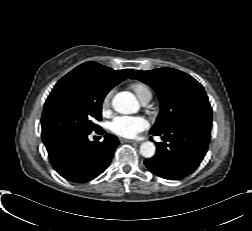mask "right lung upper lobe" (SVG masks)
<instances>
[{"instance_id": "cb5924a9", "label": "right lung upper lobe", "mask_w": 252, "mask_h": 231, "mask_svg": "<svg viewBox=\"0 0 252 231\" xmlns=\"http://www.w3.org/2000/svg\"><path fill=\"white\" fill-rule=\"evenodd\" d=\"M76 71L92 74L93 76L103 79L116 86L117 84L125 80L133 70L132 69L113 70L112 68L101 65L99 63L86 62L76 67L71 72Z\"/></svg>"}]
</instances>
